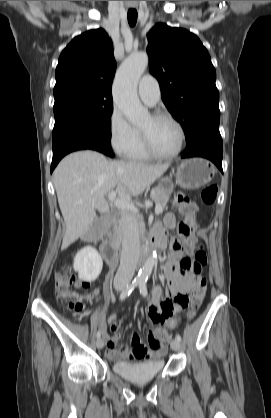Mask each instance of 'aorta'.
Masks as SVG:
<instances>
[{
    "mask_svg": "<svg viewBox=\"0 0 271 418\" xmlns=\"http://www.w3.org/2000/svg\"><path fill=\"white\" fill-rule=\"evenodd\" d=\"M148 60L146 52H138L130 55L119 67L114 81L113 97L115 106L134 125L141 124L150 117L148 110L142 106L137 95V85L147 68ZM156 259V252H153L147 258L137 279L144 280L151 274Z\"/></svg>",
    "mask_w": 271,
    "mask_h": 418,
    "instance_id": "aorta-1",
    "label": "aorta"
}]
</instances>
